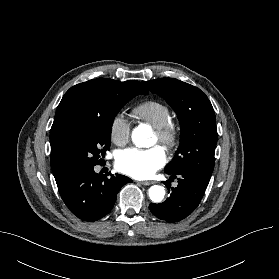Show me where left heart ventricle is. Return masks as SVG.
<instances>
[{
  "instance_id": "obj_1",
  "label": "left heart ventricle",
  "mask_w": 279,
  "mask_h": 279,
  "mask_svg": "<svg viewBox=\"0 0 279 279\" xmlns=\"http://www.w3.org/2000/svg\"><path fill=\"white\" fill-rule=\"evenodd\" d=\"M159 143L158 138L156 136V134L153 137V144Z\"/></svg>"
}]
</instances>
